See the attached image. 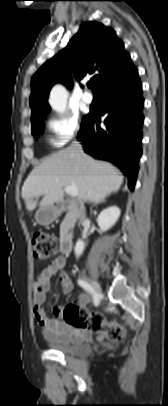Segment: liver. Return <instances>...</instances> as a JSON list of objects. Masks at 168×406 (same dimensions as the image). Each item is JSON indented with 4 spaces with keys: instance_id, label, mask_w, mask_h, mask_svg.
Wrapping results in <instances>:
<instances>
[{
    "instance_id": "1",
    "label": "liver",
    "mask_w": 168,
    "mask_h": 406,
    "mask_svg": "<svg viewBox=\"0 0 168 406\" xmlns=\"http://www.w3.org/2000/svg\"><path fill=\"white\" fill-rule=\"evenodd\" d=\"M123 183V175L112 164L98 161L70 147L49 156L36 166L22 187V198L28 211L38 203L34 198L43 195L40 208L62 201L64 188L74 185L80 202L102 203L111 193L117 192Z\"/></svg>"
}]
</instances>
